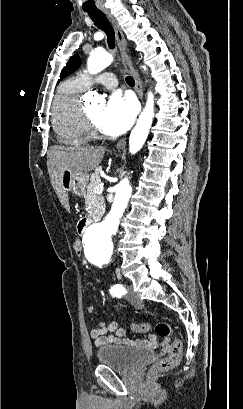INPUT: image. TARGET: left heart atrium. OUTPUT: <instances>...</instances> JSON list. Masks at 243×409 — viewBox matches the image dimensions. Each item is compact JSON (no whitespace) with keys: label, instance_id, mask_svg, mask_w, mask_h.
Masks as SVG:
<instances>
[{"label":"left heart atrium","instance_id":"1","mask_svg":"<svg viewBox=\"0 0 243 409\" xmlns=\"http://www.w3.org/2000/svg\"><path fill=\"white\" fill-rule=\"evenodd\" d=\"M136 115V106L131 99L113 94L99 116L101 131L110 136H117L127 131Z\"/></svg>","mask_w":243,"mask_h":409}]
</instances>
